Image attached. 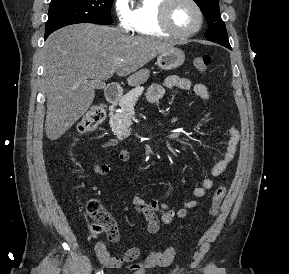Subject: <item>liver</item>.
Segmentation results:
<instances>
[{"instance_id": "1", "label": "liver", "mask_w": 289, "mask_h": 274, "mask_svg": "<svg viewBox=\"0 0 289 274\" xmlns=\"http://www.w3.org/2000/svg\"><path fill=\"white\" fill-rule=\"evenodd\" d=\"M172 48L159 39L95 24L70 25L52 33L45 42L43 64L48 139L60 138L87 112L95 98L94 82L116 73L130 75L128 84L139 85L149 76L148 70L139 69Z\"/></svg>"}]
</instances>
